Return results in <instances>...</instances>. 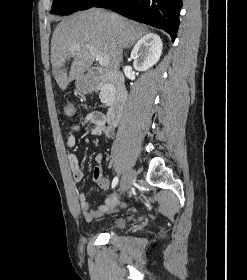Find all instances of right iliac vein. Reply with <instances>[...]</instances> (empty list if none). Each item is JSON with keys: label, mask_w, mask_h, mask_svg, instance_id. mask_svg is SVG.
Returning a JSON list of instances; mask_svg holds the SVG:
<instances>
[{"label": "right iliac vein", "mask_w": 247, "mask_h": 280, "mask_svg": "<svg viewBox=\"0 0 247 280\" xmlns=\"http://www.w3.org/2000/svg\"><path fill=\"white\" fill-rule=\"evenodd\" d=\"M134 179L135 172L131 169L127 170L123 175L122 182L120 184V191H127L131 187Z\"/></svg>", "instance_id": "1"}]
</instances>
